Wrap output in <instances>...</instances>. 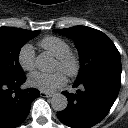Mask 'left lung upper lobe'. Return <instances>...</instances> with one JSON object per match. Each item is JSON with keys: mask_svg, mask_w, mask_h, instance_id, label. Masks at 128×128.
Returning <instances> with one entry per match:
<instances>
[{"mask_svg": "<svg viewBox=\"0 0 128 128\" xmlns=\"http://www.w3.org/2000/svg\"><path fill=\"white\" fill-rule=\"evenodd\" d=\"M54 31L75 41L80 56V71L76 80L101 67L121 68L120 53L103 32L86 26Z\"/></svg>", "mask_w": 128, "mask_h": 128, "instance_id": "5c2ea615", "label": "left lung upper lobe"}]
</instances>
